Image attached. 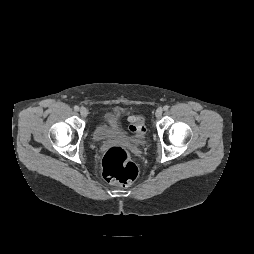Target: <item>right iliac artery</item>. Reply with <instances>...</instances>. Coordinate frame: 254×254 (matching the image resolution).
I'll use <instances>...</instances> for the list:
<instances>
[{
	"label": "right iliac artery",
	"instance_id": "obj_1",
	"mask_svg": "<svg viewBox=\"0 0 254 254\" xmlns=\"http://www.w3.org/2000/svg\"><path fill=\"white\" fill-rule=\"evenodd\" d=\"M74 110H75V111H78V110H79V107H78V106H74Z\"/></svg>",
	"mask_w": 254,
	"mask_h": 254
}]
</instances>
